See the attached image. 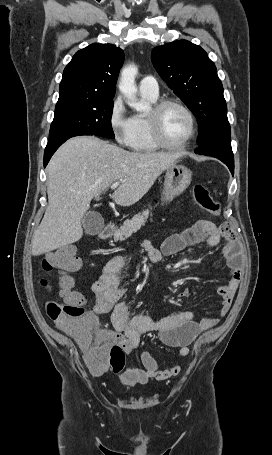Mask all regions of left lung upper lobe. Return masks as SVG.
<instances>
[{
  "label": "left lung upper lobe",
  "instance_id": "left-lung-upper-lobe-1",
  "mask_svg": "<svg viewBox=\"0 0 272 455\" xmlns=\"http://www.w3.org/2000/svg\"><path fill=\"white\" fill-rule=\"evenodd\" d=\"M152 62L167 85L194 113L198 146L231 134L223 86L214 63L198 45L174 41L152 50Z\"/></svg>",
  "mask_w": 272,
  "mask_h": 455
}]
</instances>
